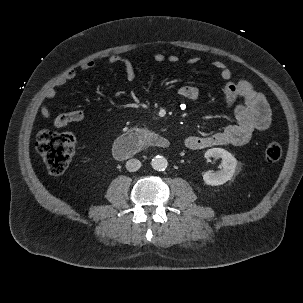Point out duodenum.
Wrapping results in <instances>:
<instances>
[{
    "instance_id": "410a0bca",
    "label": "duodenum",
    "mask_w": 303,
    "mask_h": 303,
    "mask_svg": "<svg viewBox=\"0 0 303 303\" xmlns=\"http://www.w3.org/2000/svg\"><path fill=\"white\" fill-rule=\"evenodd\" d=\"M146 146L167 149L170 147V142L157 132L134 129L117 138L113 146V155L117 159H128Z\"/></svg>"
}]
</instances>
